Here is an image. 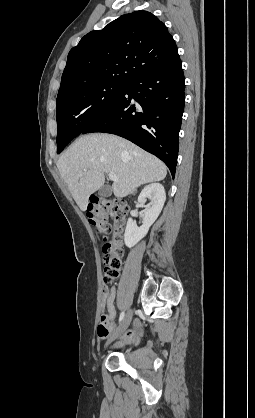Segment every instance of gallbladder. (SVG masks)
I'll list each match as a JSON object with an SVG mask.
<instances>
[{"mask_svg": "<svg viewBox=\"0 0 255 418\" xmlns=\"http://www.w3.org/2000/svg\"><path fill=\"white\" fill-rule=\"evenodd\" d=\"M99 194L102 197H109L112 194V188L109 185H104L100 190Z\"/></svg>", "mask_w": 255, "mask_h": 418, "instance_id": "bac80fb5", "label": "gallbladder"}]
</instances>
